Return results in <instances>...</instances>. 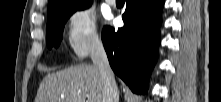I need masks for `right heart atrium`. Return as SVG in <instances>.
I'll list each match as a JSON object with an SVG mask.
<instances>
[{"label": "right heart atrium", "mask_w": 221, "mask_h": 102, "mask_svg": "<svg viewBox=\"0 0 221 102\" xmlns=\"http://www.w3.org/2000/svg\"><path fill=\"white\" fill-rule=\"evenodd\" d=\"M67 42L77 58L86 57L101 45V36L96 15L82 7L74 10L67 21Z\"/></svg>", "instance_id": "right-heart-atrium-1"}]
</instances>
